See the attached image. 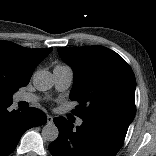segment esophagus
<instances>
[{
    "label": "esophagus",
    "mask_w": 156,
    "mask_h": 156,
    "mask_svg": "<svg viewBox=\"0 0 156 156\" xmlns=\"http://www.w3.org/2000/svg\"><path fill=\"white\" fill-rule=\"evenodd\" d=\"M53 122V117L50 115H47V123L51 124Z\"/></svg>",
    "instance_id": "1"
}]
</instances>
